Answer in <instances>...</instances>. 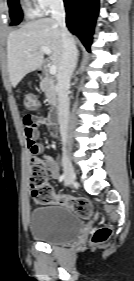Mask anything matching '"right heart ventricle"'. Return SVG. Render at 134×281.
Wrapping results in <instances>:
<instances>
[{
	"label": "right heart ventricle",
	"instance_id": "right-heart-ventricle-1",
	"mask_svg": "<svg viewBox=\"0 0 134 281\" xmlns=\"http://www.w3.org/2000/svg\"><path fill=\"white\" fill-rule=\"evenodd\" d=\"M23 6L27 17H34L37 15L38 10L33 6L30 0H23Z\"/></svg>",
	"mask_w": 134,
	"mask_h": 281
}]
</instances>
